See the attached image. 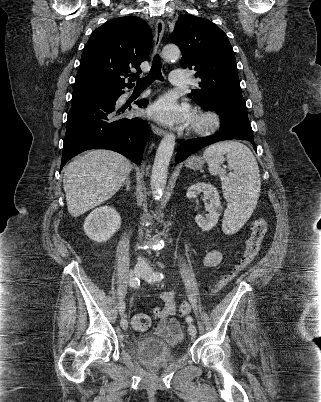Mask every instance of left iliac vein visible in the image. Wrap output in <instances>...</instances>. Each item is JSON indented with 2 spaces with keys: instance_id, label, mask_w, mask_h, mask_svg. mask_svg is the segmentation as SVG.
<instances>
[{
  "instance_id": "4c4485c4",
  "label": "left iliac vein",
  "mask_w": 321,
  "mask_h": 402,
  "mask_svg": "<svg viewBox=\"0 0 321 402\" xmlns=\"http://www.w3.org/2000/svg\"><path fill=\"white\" fill-rule=\"evenodd\" d=\"M142 278L148 283H153V270L151 268H147L145 273L142 275ZM188 332L191 336H195L197 333L196 327L193 324H189Z\"/></svg>"
}]
</instances>
